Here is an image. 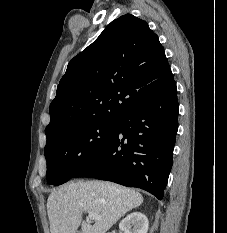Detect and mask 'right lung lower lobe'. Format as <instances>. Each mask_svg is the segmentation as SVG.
Here are the masks:
<instances>
[{
	"label": "right lung lower lobe",
	"instance_id": "98d812e1",
	"mask_svg": "<svg viewBox=\"0 0 227 233\" xmlns=\"http://www.w3.org/2000/svg\"><path fill=\"white\" fill-rule=\"evenodd\" d=\"M178 111L174 81L123 115L113 136L74 177L141 188L161 200L173 162Z\"/></svg>",
	"mask_w": 227,
	"mask_h": 233
}]
</instances>
